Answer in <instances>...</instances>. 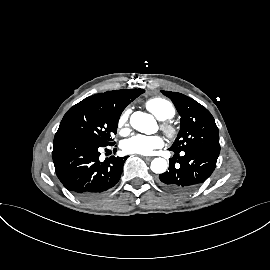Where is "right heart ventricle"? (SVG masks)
Wrapping results in <instances>:
<instances>
[{"label":"right heart ventricle","instance_id":"1","mask_svg":"<svg viewBox=\"0 0 270 270\" xmlns=\"http://www.w3.org/2000/svg\"><path fill=\"white\" fill-rule=\"evenodd\" d=\"M145 106L159 120L170 119L175 114V108L172 103L161 97L149 99Z\"/></svg>","mask_w":270,"mask_h":270}]
</instances>
